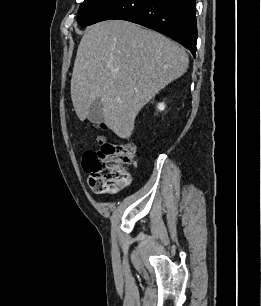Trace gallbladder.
<instances>
[{
    "mask_svg": "<svg viewBox=\"0 0 261 306\" xmlns=\"http://www.w3.org/2000/svg\"><path fill=\"white\" fill-rule=\"evenodd\" d=\"M87 118L90 122L98 124L103 119V102L101 98H96L90 108L87 115Z\"/></svg>",
    "mask_w": 261,
    "mask_h": 306,
    "instance_id": "bac80fb5",
    "label": "gallbladder"
}]
</instances>
